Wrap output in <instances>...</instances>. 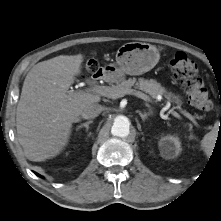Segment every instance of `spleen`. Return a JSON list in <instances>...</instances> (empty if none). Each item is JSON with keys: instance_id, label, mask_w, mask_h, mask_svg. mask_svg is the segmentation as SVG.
Segmentation results:
<instances>
[{"instance_id": "spleen-1", "label": "spleen", "mask_w": 221, "mask_h": 221, "mask_svg": "<svg viewBox=\"0 0 221 221\" xmlns=\"http://www.w3.org/2000/svg\"><path fill=\"white\" fill-rule=\"evenodd\" d=\"M217 132H218V124L216 123L214 125L213 130L211 132L207 133L204 136L203 140L201 141V146L203 147V149L207 155H209L213 149Z\"/></svg>"}]
</instances>
